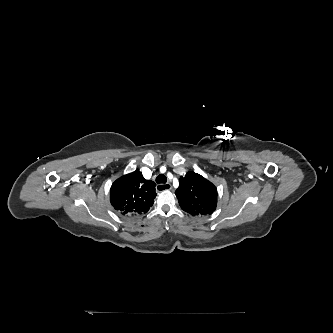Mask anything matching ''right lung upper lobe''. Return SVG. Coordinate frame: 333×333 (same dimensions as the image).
<instances>
[{"label":"right lung upper lobe","instance_id":"1","mask_svg":"<svg viewBox=\"0 0 333 333\" xmlns=\"http://www.w3.org/2000/svg\"><path fill=\"white\" fill-rule=\"evenodd\" d=\"M156 184L146 180L139 170L117 179L110 189V202L124 216L146 213L154 203Z\"/></svg>","mask_w":333,"mask_h":333}]
</instances>
